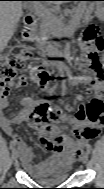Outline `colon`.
Here are the masks:
<instances>
[{"instance_id": "obj_1", "label": "colon", "mask_w": 104, "mask_h": 189, "mask_svg": "<svg viewBox=\"0 0 104 189\" xmlns=\"http://www.w3.org/2000/svg\"><path fill=\"white\" fill-rule=\"evenodd\" d=\"M81 40L83 44L93 49V51L89 53L88 58L90 60L92 70L98 76H101L102 64L98 53L104 50V38L95 26H89L84 31ZM30 59V50L21 45H16L13 51L6 54L0 69V99L1 97L9 94L11 88L15 84L19 72L27 67ZM38 77L42 83H46L49 80L50 75L47 70L42 68L38 70ZM86 107L90 112V117H102L103 103L101 101L94 100L91 103H88ZM45 110L46 109L44 107H40L37 112L38 114H43ZM35 128L38 130L43 141L46 143L54 142V137L49 126L42 124L40 121H36ZM80 134L84 133L81 132Z\"/></svg>"}]
</instances>
